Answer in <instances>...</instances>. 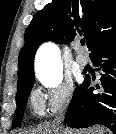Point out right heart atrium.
<instances>
[{"label": "right heart atrium", "instance_id": "d8ad5b80", "mask_svg": "<svg viewBox=\"0 0 116 134\" xmlns=\"http://www.w3.org/2000/svg\"><path fill=\"white\" fill-rule=\"evenodd\" d=\"M42 111L56 115L65 111L73 98V86L70 83H60L52 88L37 89L33 93Z\"/></svg>", "mask_w": 116, "mask_h": 134}]
</instances>
